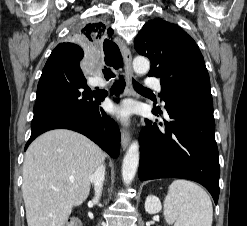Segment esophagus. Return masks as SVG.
I'll list each match as a JSON object with an SVG mask.
<instances>
[{"label": "esophagus", "mask_w": 247, "mask_h": 226, "mask_svg": "<svg viewBox=\"0 0 247 226\" xmlns=\"http://www.w3.org/2000/svg\"><path fill=\"white\" fill-rule=\"evenodd\" d=\"M118 46L120 48L123 60H124V69H125V80L127 83L126 88V96L130 97L134 95V91L132 88V77H133V71H132V55L129 47L122 41H118ZM130 143V133L126 129H123L121 133V144L123 150H125Z\"/></svg>", "instance_id": "esophagus-1"}]
</instances>
